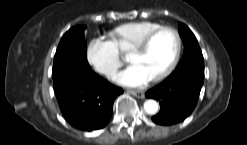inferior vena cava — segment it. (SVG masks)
<instances>
[{
  "label": "inferior vena cava",
  "instance_id": "obj_1",
  "mask_svg": "<svg viewBox=\"0 0 247 145\" xmlns=\"http://www.w3.org/2000/svg\"><path fill=\"white\" fill-rule=\"evenodd\" d=\"M103 72L107 75H112L115 73V69L111 68V67H106V68H104Z\"/></svg>",
  "mask_w": 247,
  "mask_h": 145
}]
</instances>
